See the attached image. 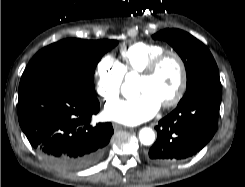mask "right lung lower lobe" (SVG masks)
<instances>
[{"label": "right lung lower lobe", "mask_w": 245, "mask_h": 187, "mask_svg": "<svg viewBox=\"0 0 245 187\" xmlns=\"http://www.w3.org/2000/svg\"><path fill=\"white\" fill-rule=\"evenodd\" d=\"M99 109L96 96L62 84L40 83L19 91L21 129L44 159L67 170L93 165L109 143L112 124H90Z\"/></svg>", "instance_id": "right-lung-lower-lobe-1"}]
</instances>
